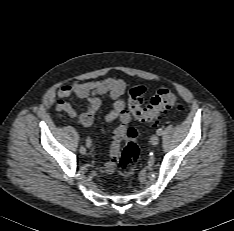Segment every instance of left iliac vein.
I'll list each match as a JSON object with an SVG mask.
<instances>
[{
    "mask_svg": "<svg viewBox=\"0 0 234 231\" xmlns=\"http://www.w3.org/2000/svg\"><path fill=\"white\" fill-rule=\"evenodd\" d=\"M150 142L152 145L156 146L159 143V137L157 135H152L150 138Z\"/></svg>",
    "mask_w": 234,
    "mask_h": 231,
    "instance_id": "left-iliac-vein-1",
    "label": "left iliac vein"
}]
</instances>
